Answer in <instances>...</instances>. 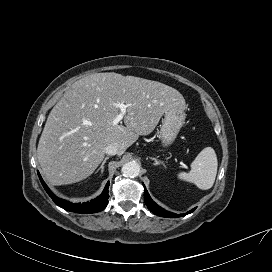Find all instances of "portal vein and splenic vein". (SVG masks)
Listing matches in <instances>:
<instances>
[{
  "mask_svg": "<svg viewBox=\"0 0 272 272\" xmlns=\"http://www.w3.org/2000/svg\"><path fill=\"white\" fill-rule=\"evenodd\" d=\"M115 105L120 109V113L113 119L112 124L113 125H118V123L126 115L127 108L130 105H127V104H124V103H116ZM185 167L187 168V166H185Z\"/></svg>",
  "mask_w": 272,
  "mask_h": 272,
  "instance_id": "18ae733b",
  "label": "portal vein and splenic vein"
}]
</instances>
